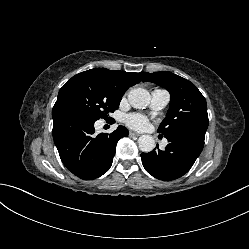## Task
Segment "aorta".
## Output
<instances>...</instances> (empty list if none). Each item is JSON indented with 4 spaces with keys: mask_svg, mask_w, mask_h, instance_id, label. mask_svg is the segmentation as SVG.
Segmentation results:
<instances>
[{
    "mask_svg": "<svg viewBox=\"0 0 249 249\" xmlns=\"http://www.w3.org/2000/svg\"><path fill=\"white\" fill-rule=\"evenodd\" d=\"M150 94L143 88L132 89L128 94V101L134 108H145L150 103ZM138 146L142 152H151L155 147V140L150 135H142L138 139Z\"/></svg>",
    "mask_w": 249,
    "mask_h": 249,
    "instance_id": "1",
    "label": "aorta"
}]
</instances>
